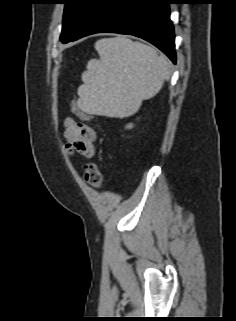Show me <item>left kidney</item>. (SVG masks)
<instances>
[{
	"mask_svg": "<svg viewBox=\"0 0 236 321\" xmlns=\"http://www.w3.org/2000/svg\"><path fill=\"white\" fill-rule=\"evenodd\" d=\"M132 127H133L132 124H128V125L126 126V128H128V129H130V128H132Z\"/></svg>",
	"mask_w": 236,
	"mask_h": 321,
	"instance_id": "5707ae66",
	"label": "left kidney"
}]
</instances>
